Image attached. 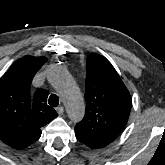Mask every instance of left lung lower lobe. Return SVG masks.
<instances>
[{
    "mask_svg": "<svg viewBox=\"0 0 165 165\" xmlns=\"http://www.w3.org/2000/svg\"><path fill=\"white\" fill-rule=\"evenodd\" d=\"M75 135L76 138L83 144L87 145L90 148H100L104 147L102 144H100L98 141L95 139L85 135L84 133L75 130Z\"/></svg>",
    "mask_w": 165,
    "mask_h": 165,
    "instance_id": "0a47b994",
    "label": "left lung lower lobe"
}]
</instances>
